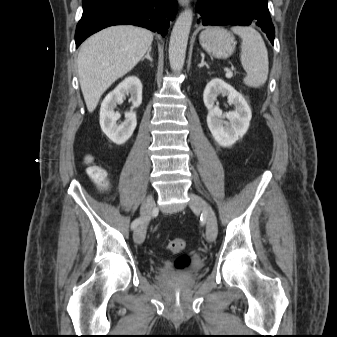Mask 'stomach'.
Segmentation results:
<instances>
[{"mask_svg": "<svg viewBox=\"0 0 337 337\" xmlns=\"http://www.w3.org/2000/svg\"><path fill=\"white\" fill-rule=\"evenodd\" d=\"M199 41L202 48L219 59L230 57L236 46L235 37L221 27H209L201 32Z\"/></svg>", "mask_w": 337, "mask_h": 337, "instance_id": "0dacf381", "label": "stomach"}]
</instances>
